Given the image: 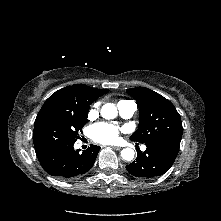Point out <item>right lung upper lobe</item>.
Returning a JSON list of instances; mask_svg holds the SVG:
<instances>
[{
    "label": "right lung upper lobe",
    "instance_id": "obj_1",
    "mask_svg": "<svg viewBox=\"0 0 221 221\" xmlns=\"http://www.w3.org/2000/svg\"><path fill=\"white\" fill-rule=\"evenodd\" d=\"M107 92V89H96L87 85L74 84L56 91L46 101H61L68 109L77 110L89 107L93 101Z\"/></svg>",
    "mask_w": 221,
    "mask_h": 221
}]
</instances>
